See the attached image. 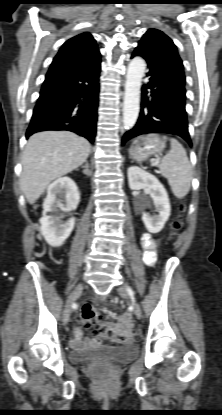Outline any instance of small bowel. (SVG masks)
Segmentation results:
<instances>
[{
    "instance_id": "small-bowel-1",
    "label": "small bowel",
    "mask_w": 222,
    "mask_h": 415,
    "mask_svg": "<svg viewBox=\"0 0 222 415\" xmlns=\"http://www.w3.org/2000/svg\"><path fill=\"white\" fill-rule=\"evenodd\" d=\"M141 244L144 250V259L148 265H152L156 261V248L158 245V241L153 238L150 234L143 235L141 239ZM117 323H127L128 322V316H122L119 317L116 321ZM93 343H98L99 340L95 339L92 341ZM85 343V341L82 339V332L80 329H76L75 331V339L73 340L72 344L74 346H79L81 344Z\"/></svg>"
}]
</instances>
